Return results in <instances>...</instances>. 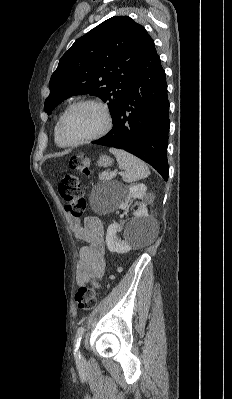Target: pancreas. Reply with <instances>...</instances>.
<instances>
[{
	"instance_id": "pancreas-1",
	"label": "pancreas",
	"mask_w": 232,
	"mask_h": 399,
	"mask_svg": "<svg viewBox=\"0 0 232 399\" xmlns=\"http://www.w3.org/2000/svg\"><path fill=\"white\" fill-rule=\"evenodd\" d=\"M99 180H113V176L110 170H107V172H102V174H99Z\"/></svg>"
}]
</instances>
